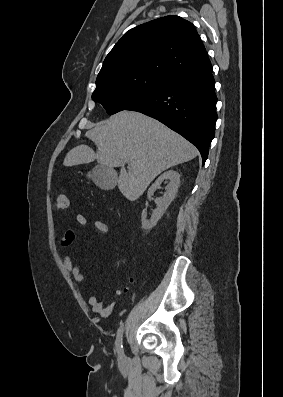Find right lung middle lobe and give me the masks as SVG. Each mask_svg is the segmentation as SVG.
I'll use <instances>...</instances> for the list:
<instances>
[{
    "label": "right lung middle lobe",
    "mask_w": 283,
    "mask_h": 397,
    "mask_svg": "<svg viewBox=\"0 0 283 397\" xmlns=\"http://www.w3.org/2000/svg\"><path fill=\"white\" fill-rule=\"evenodd\" d=\"M166 80L149 75L121 76L96 82L92 100L99 102L112 115L158 90Z\"/></svg>",
    "instance_id": "1"
}]
</instances>
